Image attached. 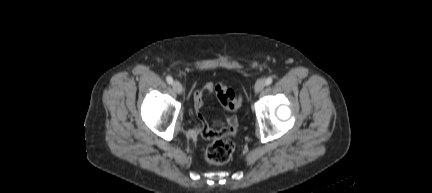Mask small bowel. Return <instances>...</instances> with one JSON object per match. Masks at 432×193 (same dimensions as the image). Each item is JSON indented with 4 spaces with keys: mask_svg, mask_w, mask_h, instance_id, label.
<instances>
[{
    "mask_svg": "<svg viewBox=\"0 0 432 193\" xmlns=\"http://www.w3.org/2000/svg\"><path fill=\"white\" fill-rule=\"evenodd\" d=\"M214 89V85L209 82L204 85L203 89L196 90L193 94V105L195 110L198 112L199 119L202 122V135L207 139L232 136L237 132L238 129V120L232 114H227L223 119L220 120L206 122L199 113L204 105V94H210L214 91Z\"/></svg>",
    "mask_w": 432,
    "mask_h": 193,
    "instance_id": "small-bowel-1",
    "label": "small bowel"
}]
</instances>
